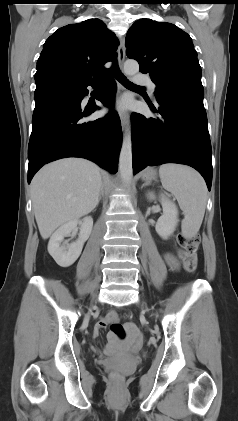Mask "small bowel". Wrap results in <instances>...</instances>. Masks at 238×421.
Wrapping results in <instances>:
<instances>
[{
  "label": "small bowel",
  "instance_id": "1",
  "mask_svg": "<svg viewBox=\"0 0 238 421\" xmlns=\"http://www.w3.org/2000/svg\"><path fill=\"white\" fill-rule=\"evenodd\" d=\"M165 261L169 265V267L172 268V269H177L178 266H179V263H178L176 257L173 254H170V253L165 254ZM113 314H115V312L111 311L105 317H103L102 319H100L97 322V324L95 325V328H94V335L95 336H98L99 333L101 332V330L106 328V326L109 324L110 316L113 315ZM127 327L131 332L132 340L137 341L139 339V332H138L137 327L132 323H129L127 325ZM110 339H111V337H110Z\"/></svg>",
  "mask_w": 238,
  "mask_h": 421
}]
</instances>
